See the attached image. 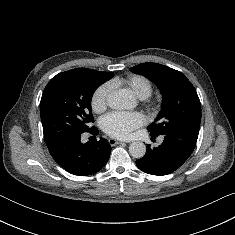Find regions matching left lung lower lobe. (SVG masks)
<instances>
[{
	"instance_id": "left-lung-lower-lobe-1",
	"label": "left lung lower lobe",
	"mask_w": 235,
	"mask_h": 235,
	"mask_svg": "<svg viewBox=\"0 0 235 235\" xmlns=\"http://www.w3.org/2000/svg\"><path fill=\"white\" fill-rule=\"evenodd\" d=\"M198 133L192 130H175L162 134L163 143L156 148L147 145L146 155L136 161L137 167L151 175L161 176L174 172L193 152Z\"/></svg>"
}]
</instances>
